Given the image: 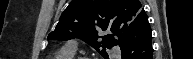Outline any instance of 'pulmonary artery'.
Wrapping results in <instances>:
<instances>
[{"label": "pulmonary artery", "mask_w": 193, "mask_h": 59, "mask_svg": "<svg viewBox=\"0 0 193 59\" xmlns=\"http://www.w3.org/2000/svg\"><path fill=\"white\" fill-rule=\"evenodd\" d=\"M64 48H66V49H68V50H70V51H73V52L76 51V45L73 44V43H67ZM118 53H119L118 50H115V51L113 52V54H118Z\"/></svg>", "instance_id": "obj_1"}]
</instances>
